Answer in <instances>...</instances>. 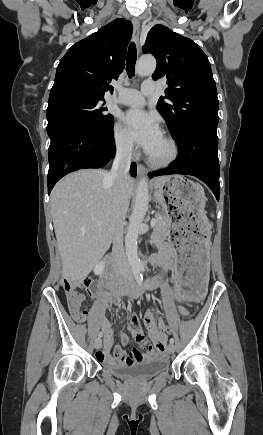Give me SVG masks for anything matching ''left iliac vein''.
I'll return each mask as SVG.
<instances>
[{
  "instance_id": "1",
  "label": "left iliac vein",
  "mask_w": 263,
  "mask_h": 435,
  "mask_svg": "<svg viewBox=\"0 0 263 435\" xmlns=\"http://www.w3.org/2000/svg\"><path fill=\"white\" fill-rule=\"evenodd\" d=\"M167 350H168V352L169 353H174V351H175V346H174V344H169L168 345V347H167Z\"/></svg>"
}]
</instances>
